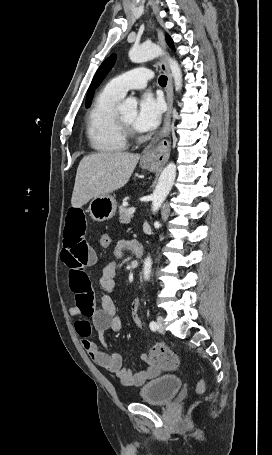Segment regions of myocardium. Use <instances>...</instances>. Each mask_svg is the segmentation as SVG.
Here are the masks:
<instances>
[{
    "mask_svg": "<svg viewBox=\"0 0 272 455\" xmlns=\"http://www.w3.org/2000/svg\"><path fill=\"white\" fill-rule=\"evenodd\" d=\"M116 123L126 142L135 138L134 128L123 120L119 112H116Z\"/></svg>",
    "mask_w": 272,
    "mask_h": 455,
    "instance_id": "myocardium-1",
    "label": "myocardium"
}]
</instances>
